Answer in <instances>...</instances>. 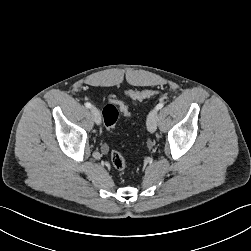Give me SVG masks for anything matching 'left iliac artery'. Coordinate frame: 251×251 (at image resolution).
Wrapping results in <instances>:
<instances>
[{"label":"left iliac artery","mask_w":251,"mask_h":251,"mask_svg":"<svg viewBox=\"0 0 251 251\" xmlns=\"http://www.w3.org/2000/svg\"><path fill=\"white\" fill-rule=\"evenodd\" d=\"M163 106H164V103L161 102V103L156 105L155 109L160 110Z\"/></svg>","instance_id":"44dca946"}]
</instances>
